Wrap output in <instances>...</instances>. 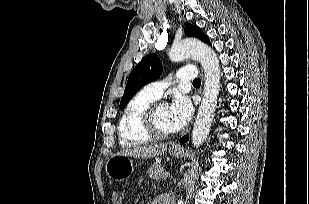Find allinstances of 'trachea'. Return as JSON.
Masks as SVG:
<instances>
[{"label": "trachea", "instance_id": "trachea-1", "mask_svg": "<svg viewBox=\"0 0 309 204\" xmlns=\"http://www.w3.org/2000/svg\"><path fill=\"white\" fill-rule=\"evenodd\" d=\"M193 84H201V80L199 78H197L193 81Z\"/></svg>", "mask_w": 309, "mask_h": 204}]
</instances>
